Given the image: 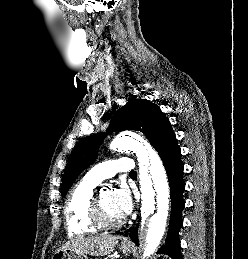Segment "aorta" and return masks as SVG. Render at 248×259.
<instances>
[{"instance_id":"1","label":"aorta","mask_w":248,"mask_h":259,"mask_svg":"<svg viewBox=\"0 0 248 259\" xmlns=\"http://www.w3.org/2000/svg\"><path fill=\"white\" fill-rule=\"evenodd\" d=\"M137 135L115 137L110 143L114 151H133L139 163L142 233L145 234L144 258L159 246L165 232L169 209V185L163 164L155 150ZM148 221V223H147Z\"/></svg>"}]
</instances>
